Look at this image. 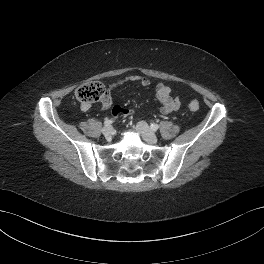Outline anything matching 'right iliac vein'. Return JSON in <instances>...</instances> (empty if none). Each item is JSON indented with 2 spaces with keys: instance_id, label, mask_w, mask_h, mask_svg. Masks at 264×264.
<instances>
[{
  "instance_id": "obj_1",
  "label": "right iliac vein",
  "mask_w": 264,
  "mask_h": 264,
  "mask_svg": "<svg viewBox=\"0 0 264 264\" xmlns=\"http://www.w3.org/2000/svg\"><path fill=\"white\" fill-rule=\"evenodd\" d=\"M113 132V128L109 125L107 126H104L103 129H102V133L106 136V137H109L111 136Z\"/></svg>"
}]
</instances>
